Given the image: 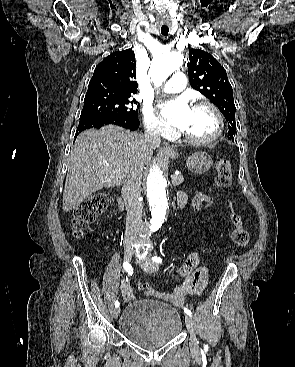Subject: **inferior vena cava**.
<instances>
[{"mask_svg": "<svg viewBox=\"0 0 295 367\" xmlns=\"http://www.w3.org/2000/svg\"><path fill=\"white\" fill-rule=\"evenodd\" d=\"M160 131L157 128H147L144 138L151 145H159L161 138ZM141 196V178L129 177L122 188V197L124 199L127 218L126 231L124 236V245L129 246L142 229V210L143 204L140 201Z\"/></svg>", "mask_w": 295, "mask_h": 367, "instance_id": "1", "label": "inferior vena cava"}]
</instances>
